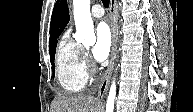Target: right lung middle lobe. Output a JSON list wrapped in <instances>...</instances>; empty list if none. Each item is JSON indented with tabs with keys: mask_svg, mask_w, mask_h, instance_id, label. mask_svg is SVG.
<instances>
[{
	"mask_svg": "<svg viewBox=\"0 0 193 112\" xmlns=\"http://www.w3.org/2000/svg\"><path fill=\"white\" fill-rule=\"evenodd\" d=\"M56 45L57 43L54 45L53 48L49 49L53 74H54V59H55Z\"/></svg>",
	"mask_w": 193,
	"mask_h": 112,
	"instance_id": "obj_1",
	"label": "right lung middle lobe"
}]
</instances>
